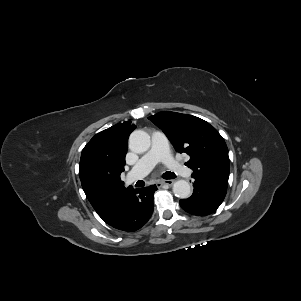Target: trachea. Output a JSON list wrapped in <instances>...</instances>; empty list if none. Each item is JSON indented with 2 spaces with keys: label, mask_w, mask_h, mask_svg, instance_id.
Segmentation results:
<instances>
[{
  "label": "trachea",
  "mask_w": 301,
  "mask_h": 301,
  "mask_svg": "<svg viewBox=\"0 0 301 301\" xmlns=\"http://www.w3.org/2000/svg\"><path fill=\"white\" fill-rule=\"evenodd\" d=\"M163 178L165 179H174L176 178V175L172 172H166L163 174Z\"/></svg>",
  "instance_id": "obj_1"
}]
</instances>
